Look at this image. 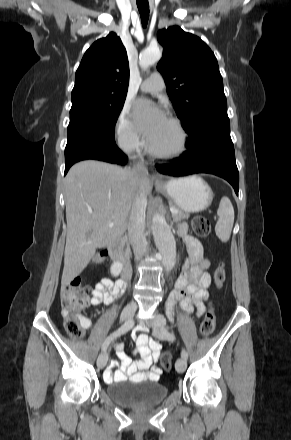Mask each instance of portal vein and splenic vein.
Segmentation results:
<instances>
[{"label":"portal vein and splenic vein","instance_id":"18ae733b","mask_svg":"<svg viewBox=\"0 0 291 440\" xmlns=\"http://www.w3.org/2000/svg\"><path fill=\"white\" fill-rule=\"evenodd\" d=\"M170 211H171L172 214H177L178 213V210L176 208H173V207L170 208ZM113 226H114L113 223L109 224V227H113Z\"/></svg>","mask_w":291,"mask_h":440}]
</instances>
